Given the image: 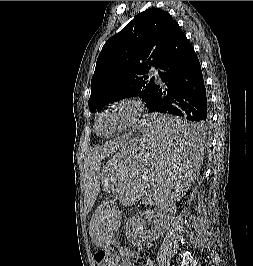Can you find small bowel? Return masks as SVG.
<instances>
[{
    "instance_id": "small-bowel-1",
    "label": "small bowel",
    "mask_w": 253,
    "mask_h": 266,
    "mask_svg": "<svg viewBox=\"0 0 253 266\" xmlns=\"http://www.w3.org/2000/svg\"><path fill=\"white\" fill-rule=\"evenodd\" d=\"M120 255H121V260L119 262V266H133L132 265V259L133 258H140L139 254L132 251L129 248L125 247H120L118 249ZM143 266H153V263L151 260H146Z\"/></svg>"
}]
</instances>
